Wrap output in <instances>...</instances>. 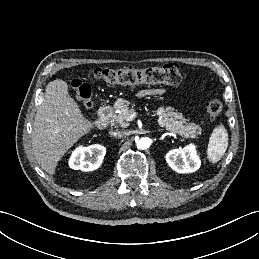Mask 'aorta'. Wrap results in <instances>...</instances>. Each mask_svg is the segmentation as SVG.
Masks as SVG:
<instances>
[{
  "label": "aorta",
  "instance_id": "obj_1",
  "mask_svg": "<svg viewBox=\"0 0 259 259\" xmlns=\"http://www.w3.org/2000/svg\"><path fill=\"white\" fill-rule=\"evenodd\" d=\"M150 144H151V141L147 137L140 138L136 141L137 148L141 150H145L149 148Z\"/></svg>",
  "mask_w": 259,
  "mask_h": 259
}]
</instances>
